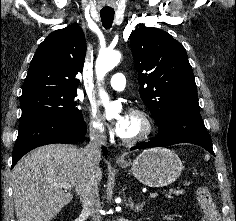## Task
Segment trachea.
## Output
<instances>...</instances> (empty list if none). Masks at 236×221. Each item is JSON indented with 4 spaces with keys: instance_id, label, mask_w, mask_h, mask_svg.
I'll list each match as a JSON object with an SVG mask.
<instances>
[{
    "instance_id": "1",
    "label": "trachea",
    "mask_w": 236,
    "mask_h": 221,
    "mask_svg": "<svg viewBox=\"0 0 236 221\" xmlns=\"http://www.w3.org/2000/svg\"><path fill=\"white\" fill-rule=\"evenodd\" d=\"M100 16L103 27L109 30L114 20V11H101Z\"/></svg>"
}]
</instances>
